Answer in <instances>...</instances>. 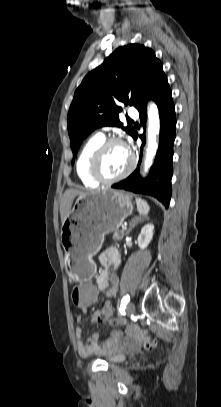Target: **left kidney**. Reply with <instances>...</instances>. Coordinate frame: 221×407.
Returning <instances> with one entry per match:
<instances>
[{
  "instance_id": "left-kidney-1",
  "label": "left kidney",
  "mask_w": 221,
  "mask_h": 407,
  "mask_svg": "<svg viewBox=\"0 0 221 407\" xmlns=\"http://www.w3.org/2000/svg\"><path fill=\"white\" fill-rule=\"evenodd\" d=\"M153 230L154 225L152 223H148L141 229V232L138 236V246L141 249H145L152 240L153 237Z\"/></svg>"
}]
</instances>
